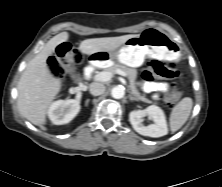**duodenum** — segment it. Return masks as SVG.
Wrapping results in <instances>:
<instances>
[{
	"mask_svg": "<svg viewBox=\"0 0 222 187\" xmlns=\"http://www.w3.org/2000/svg\"><path fill=\"white\" fill-rule=\"evenodd\" d=\"M96 65V62H93L91 65H89L85 72H84V77L85 78H90V76L92 75V72H93V68L94 66ZM78 87H83L84 86V82L83 81H80L77 85Z\"/></svg>",
	"mask_w": 222,
	"mask_h": 187,
	"instance_id": "obj_1",
	"label": "duodenum"
}]
</instances>
